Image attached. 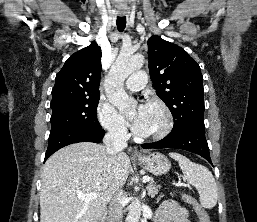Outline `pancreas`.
<instances>
[{"label": "pancreas", "instance_id": "cf45deb5", "mask_svg": "<svg viewBox=\"0 0 257 222\" xmlns=\"http://www.w3.org/2000/svg\"><path fill=\"white\" fill-rule=\"evenodd\" d=\"M158 188L159 186H156L154 180L151 178L149 184L147 185L148 195L151 197H155V195L159 191Z\"/></svg>", "mask_w": 257, "mask_h": 222}]
</instances>
